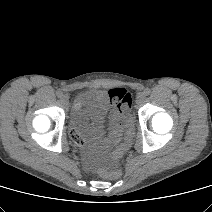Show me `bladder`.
<instances>
[{
    "mask_svg": "<svg viewBox=\"0 0 212 212\" xmlns=\"http://www.w3.org/2000/svg\"><path fill=\"white\" fill-rule=\"evenodd\" d=\"M95 97V90H87L78 96L76 106L71 113V123L75 128L85 129L88 122L89 110L95 103ZM83 133L87 140L91 139L87 132Z\"/></svg>",
    "mask_w": 212,
    "mask_h": 212,
    "instance_id": "bladder-1",
    "label": "bladder"
}]
</instances>
